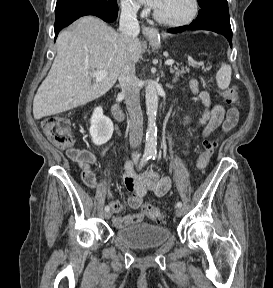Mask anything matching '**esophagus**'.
<instances>
[{
	"label": "esophagus",
	"instance_id": "esophagus-1",
	"mask_svg": "<svg viewBox=\"0 0 273 288\" xmlns=\"http://www.w3.org/2000/svg\"><path fill=\"white\" fill-rule=\"evenodd\" d=\"M157 33H158V30L155 28H151V27H144L143 28V34L146 35L147 37H152Z\"/></svg>",
	"mask_w": 273,
	"mask_h": 288
}]
</instances>
